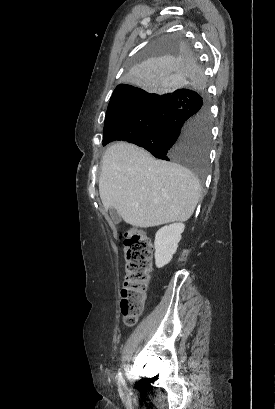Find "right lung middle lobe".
Instances as JSON below:
<instances>
[{
  "label": "right lung middle lobe",
  "instance_id": "1",
  "mask_svg": "<svg viewBox=\"0 0 275 409\" xmlns=\"http://www.w3.org/2000/svg\"><path fill=\"white\" fill-rule=\"evenodd\" d=\"M146 48L130 57L123 84L147 91L107 110L103 145L136 144L205 181L210 120L206 79L196 55L180 36L148 42Z\"/></svg>",
  "mask_w": 275,
  "mask_h": 409
}]
</instances>
